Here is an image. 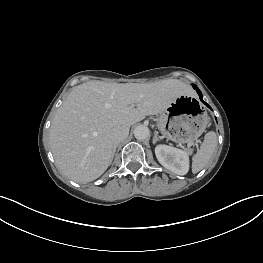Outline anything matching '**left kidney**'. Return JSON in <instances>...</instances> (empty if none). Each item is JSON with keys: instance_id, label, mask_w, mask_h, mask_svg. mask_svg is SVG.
<instances>
[{"instance_id": "1", "label": "left kidney", "mask_w": 263, "mask_h": 263, "mask_svg": "<svg viewBox=\"0 0 263 263\" xmlns=\"http://www.w3.org/2000/svg\"><path fill=\"white\" fill-rule=\"evenodd\" d=\"M155 155L159 163L171 172L177 175L188 173L189 154L186 151L168 145H157Z\"/></svg>"}]
</instances>
